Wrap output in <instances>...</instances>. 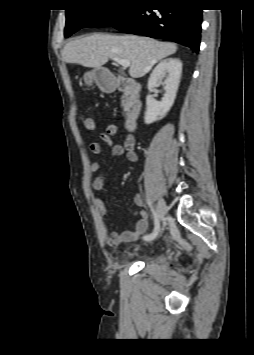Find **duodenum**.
<instances>
[{"label":"duodenum","mask_w":254,"mask_h":355,"mask_svg":"<svg viewBox=\"0 0 254 355\" xmlns=\"http://www.w3.org/2000/svg\"><path fill=\"white\" fill-rule=\"evenodd\" d=\"M105 88L111 91L121 90L127 93L129 110L125 118V128L130 132L134 131L141 113V101L139 99L141 90L140 84L115 75L114 78L105 85Z\"/></svg>","instance_id":"obj_1"}]
</instances>
